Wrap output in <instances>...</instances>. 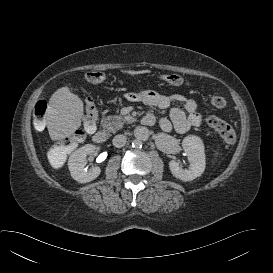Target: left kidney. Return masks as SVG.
<instances>
[{
  "instance_id": "1",
  "label": "left kidney",
  "mask_w": 273,
  "mask_h": 273,
  "mask_svg": "<svg viewBox=\"0 0 273 273\" xmlns=\"http://www.w3.org/2000/svg\"><path fill=\"white\" fill-rule=\"evenodd\" d=\"M182 147L190 162L189 169H183L179 163L171 160L169 168L174 177L184 182L192 181L201 176L205 170V150L204 144L200 137L188 135L182 141Z\"/></svg>"
}]
</instances>
